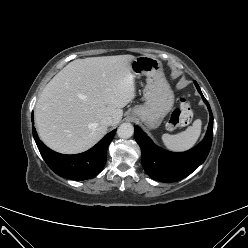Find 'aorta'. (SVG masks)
Wrapping results in <instances>:
<instances>
[{
  "instance_id": "762f6f07",
  "label": "aorta",
  "mask_w": 248,
  "mask_h": 248,
  "mask_svg": "<svg viewBox=\"0 0 248 248\" xmlns=\"http://www.w3.org/2000/svg\"><path fill=\"white\" fill-rule=\"evenodd\" d=\"M134 133V127L130 123H122L117 129V135L120 138H130Z\"/></svg>"
}]
</instances>
